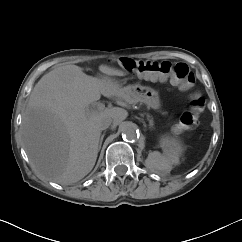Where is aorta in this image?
<instances>
[{"mask_svg":"<svg viewBox=\"0 0 242 242\" xmlns=\"http://www.w3.org/2000/svg\"><path fill=\"white\" fill-rule=\"evenodd\" d=\"M123 137L128 140H135L139 135V130L136 124L127 122L122 128Z\"/></svg>","mask_w":242,"mask_h":242,"instance_id":"aorta-1","label":"aorta"}]
</instances>
